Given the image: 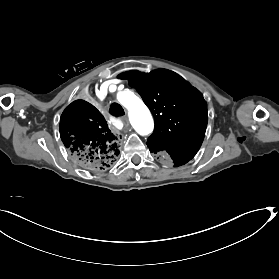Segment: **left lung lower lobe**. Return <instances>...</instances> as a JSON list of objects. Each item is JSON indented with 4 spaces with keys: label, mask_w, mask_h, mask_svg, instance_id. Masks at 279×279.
Segmentation results:
<instances>
[{
    "label": "left lung lower lobe",
    "mask_w": 279,
    "mask_h": 279,
    "mask_svg": "<svg viewBox=\"0 0 279 279\" xmlns=\"http://www.w3.org/2000/svg\"><path fill=\"white\" fill-rule=\"evenodd\" d=\"M149 150L155 154H161L167 159H170L171 161H173L175 167L186 164L196 154L194 152H184V151L155 150L152 147H149Z\"/></svg>",
    "instance_id": "1"
}]
</instances>
